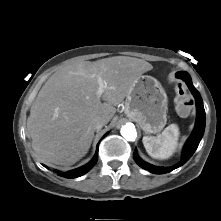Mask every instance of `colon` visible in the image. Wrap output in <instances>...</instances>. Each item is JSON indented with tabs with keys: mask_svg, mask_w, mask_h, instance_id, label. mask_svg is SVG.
I'll use <instances>...</instances> for the list:
<instances>
[{
	"mask_svg": "<svg viewBox=\"0 0 221 221\" xmlns=\"http://www.w3.org/2000/svg\"><path fill=\"white\" fill-rule=\"evenodd\" d=\"M176 110L181 116H187L190 113L192 101L188 96L184 85H176Z\"/></svg>",
	"mask_w": 221,
	"mask_h": 221,
	"instance_id": "obj_1",
	"label": "colon"
}]
</instances>
